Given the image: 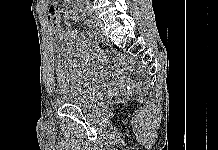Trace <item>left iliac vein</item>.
<instances>
[{"mask_svg":"<svg viewBox=\"0 0 218 150\" xmlns=\"http://www.w3.org/2000/svg\"><path fill=\"white\" fill-rule=\"evenodd\" d=\"M91 19L93 20V28L96 29V31L98 32V34L104 38V35H103V22L96 18V17H91Z\"/></svg>","mask_w":218,"mask_h":150,"instance_id":"obj_1","label":"left iliac vein"}]
</instances>
